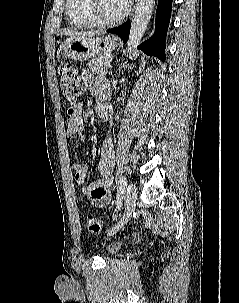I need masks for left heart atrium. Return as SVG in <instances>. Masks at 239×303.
Returning <instances> with one entry per match:
<instances>
[{
  "label": "left heart atrium",
  "instance_id": "left-heart-atrium-1",
  "mask_svg": "<svg viewBox=\"0 0 239 303\" xmlns=\"http://www.w3.org/2000/svg\"><path fill=\"white\" fill-rule=\"evenodd\" d=\"M121 4V6L125 9V10H128L129 7L131 6L132 4V0H118Z\"/></svg>",
  "mask_w": 239,
  "mask_h": 303
}]
</instances>
